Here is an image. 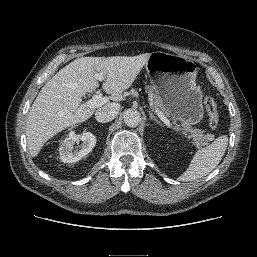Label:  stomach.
I'll return each mask as SVG.
<instances>
[{"label": "stomach", "mask_w": 257, "mask_h": 257, "mask_svg": "<svg viewBox=\"0 0 257 257\" xmlns=\"http://www.w3.org/2000/svg\"><path fill=\"white\" fill-rule=\"evenodd\" d=\"M145 66L156 94L173 120L189 126L203 120V92L196 84L197 66L192 59L156 51Z\"/></svg>", "instance_id": "obj_1"}]
</instances>
